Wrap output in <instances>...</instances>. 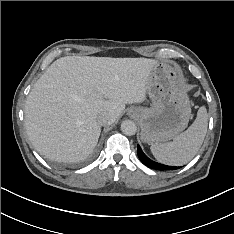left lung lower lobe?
I'll return each instance as SVG.
<instances>
[{
  "label": "left lung lower lobe",
  "instance_id": "0a47b994",
  "mask_svg": "<svg viewBox=\"0 0 234 234\" xmlns=\"http://www.w3.org/2000/svg\"><path fill=\"white\" fill-rule=\"evenodd\" d=\"M137 154H138V157L141 160V162L149 168H153V169H157V170H175V169L180 168V167L163 165V164H160V163H157V162L150 160L143 153V151L139 145L137 146Z\"/></svg>",
  "mask_w": 234,
  "mask_h": 234
}]
</instances>
